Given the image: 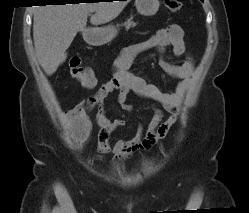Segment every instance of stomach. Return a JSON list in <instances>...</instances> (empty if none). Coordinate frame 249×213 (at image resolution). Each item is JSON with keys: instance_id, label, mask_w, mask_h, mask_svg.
<instances>
[{"instance_id": "obj_1", "label": "stomach", "mask_w": 249, "mask_h": 213, "mask_svg": "<svg viewBox=\"0 0 249 213\" xmlns=\"http://www.w3.org/2000/svg\"><path fill=\"white\" fill-rule=\"evenodd\" d=\"M135 6L141 15L152 16L157 13L160 3L159 0H135ZM117 35L114 25L96 28L85 35L87 43L93 46H101L112 41Z\"/></svg>"}]
</instances>
